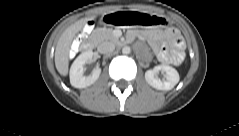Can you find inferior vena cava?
<instances>
[{
	"instance_id": "obj_1",
	"label": "inferior vena cava",
	"mask_w": 239,
	"mask_h": 136,
	"mask_svg": "<svg viewBox=\"0 0 239 136\" xmlns=\"http://www.w3.org/2000/svg\"><path fill=\"white\" fill-rule=\"evenodd\" d=\"M97 50L100 53L107 54V53L113 52L115 50V45L112 42L105 41V42H102L101 44H99Z\"/></svg>"
}]
</instances>
